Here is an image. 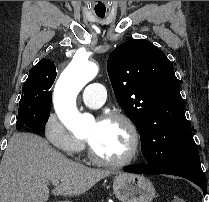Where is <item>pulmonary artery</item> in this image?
Returning <instances> with one entry per match:
<instances>
[{
    "instance_id": "obj_1",
    "label": "pulmonary artery",
    "mask_w": 209,
    "mask_h": 202,
    "mask_svg": "<svg viewBox=\"0 0 209 202\" xmlns=\"http://www.w3.org/2000/svg\"><path fill=\"white\" fill-rule=\"evenodd\" d=\"M106 86L104 84L90 83L83 92V102L91 108H99L105 102Z\"/></svg>"
}]
</instances>
